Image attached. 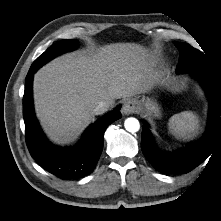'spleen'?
<instances>
[{
    "instance_id": "3e777b00",
    "label": "spleen",
    "mask_w": 221,
    "mask_h": 221,
    "mask_svg": "<svg viewBox=\"0 0 221 221\" xmlns=\"http://www.w3.org/2000/svg\"><path fill=\"white\" fill-rule=\"evenodd\" d=\"M169 131L177 139H190L199 129L198 117L191 111L174 114L168 122Z\"/></svg>"
}]
</instances>
